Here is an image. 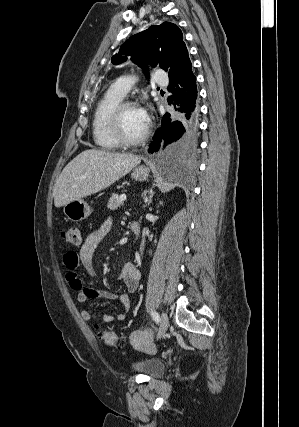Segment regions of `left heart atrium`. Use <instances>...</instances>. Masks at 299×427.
Returning a JSON list of instances; mask_svg holds the SVG:
<instances>
[{
  "mask_svg": "<svg viewBox=\"0 0 299 427\" xmlns=\"http://www.w3.org/2000/svg\"><path fill=\"white\" fill-rule=\"evenodd\" d=\"M137 110H138V113H139L141 120L147 126V124L149 122V116H148L147 110L145 108H138Z\"/></svg>",
  "mask_w": 299,
  "mask_h": 427,
  "instance_id": "left-heart-atrium-1",
  "label": "left heart atrium"
}]
</instances>
